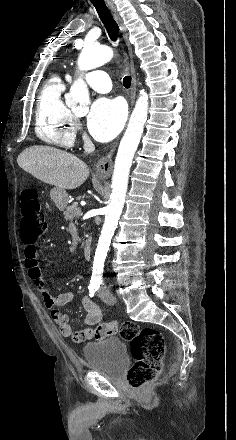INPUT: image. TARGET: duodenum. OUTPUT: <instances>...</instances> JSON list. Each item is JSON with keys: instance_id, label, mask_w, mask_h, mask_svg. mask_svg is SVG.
Instances as JSON below:
<instances>
[{"instance_id": "410a0bca", "label": "duodenum", "mask_w": 236, "mask_h": 440, "mask_svg": "<svg viewBox=\"0 0 236 440\" xmlns=\"http://www.w3.org/2000/svg\"><path fill=\"white\" fill-rule=\"evenodd\" d=\"M91 253H92V242H91V239L88 238V239H86L84 246H83L84 259L88 260L91 257Z\"/></svg>"}]
</instances>
